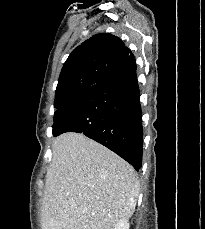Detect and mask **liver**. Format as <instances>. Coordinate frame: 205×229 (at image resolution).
<instances>
[{
  "label": "liver",
  "mask_w": 205,
  "mask_h": 229,
  "mask_svg": "<svg viewBox=\"0 0 205 229\" xmlns=\"http://www.w3.org/2000/svg\"><path fill=\"white\" fill-rule=\"evenodd\" d=\"M140 184L133 167L79 133L52 144L42 202V229H112L128 220Z\"/></svg>",
  "instance_id": "1"
}]
</instances>
